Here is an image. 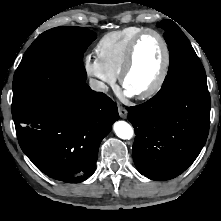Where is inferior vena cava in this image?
<instances>
[{"mask_svg":"<svg viewBox=\"0 0 221 221\" xmlns=\"http://www.w3.org/2000/svg\"><path fill=\"white\" fill-rule=\"evenodd\" d=\"M89 86L94 91H102V92L108 91V86L106 84L93 78L89 80Z\"/></svg>","mask_w":221,"mask_h":221,"instance_id":"inferior-vena-cava-1","label":"inferior vena cava"}]
</instances>
